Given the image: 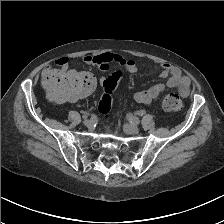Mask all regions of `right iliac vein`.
Instances as JSON below:
<instances>
[{
  "mask_svg": "<svg viewBox=\"0 0 224 224\" xmlns=\"http://www.w3.org/2000/svg\"><path fill=\"white\" fill-rule=\"evenodd\" d=\"M84 125L88 128H92L93 127V122L91 120H85Z\"/></svg>",
  "mask_w": 224,
  "mask_h": 224,
  "instance_id": "1",
  "label": "right iliac vein"
}]
</instances>
